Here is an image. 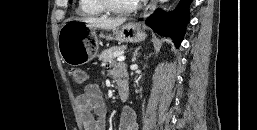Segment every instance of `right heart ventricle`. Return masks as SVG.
<instances>
[{"instance_id":"e07e8e85","label":"right heart ventricle","mask_w":257,"mask_h":130,"mask_svg":"<svg viewBox=\"0 0 257 130\" xmlns=\"http://www.w3.org/2000/svg\"><path fill=\"white\" fill-rule=\"evenodd\" d=\"M77 13L82 16H98L103 14L104 10L95 0H79Z\"/></svg>"}]
</instances>
